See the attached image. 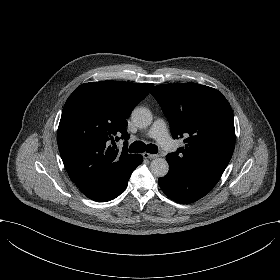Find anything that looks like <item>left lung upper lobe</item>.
<instances>
[{
	"mask_svg": "<svg viewBox=\"0 0 280 280\" xmlns=\"http://www.w3.org/2000/svg\"><path fill=\"white\" fill-rule=\"evenodd\" d=\"M151 94L167 117L172 136L187 137L184 148L167 156L186 167L222 174L235 145L232 108L223 94L196 83L158 85Z\"/></svg>",
	"mask_w": 280,
	"mask_h": 280,
	"instance_id": "obj_1",
	"label": "left lung upper lobe"
}]
</instances>
